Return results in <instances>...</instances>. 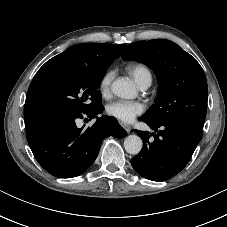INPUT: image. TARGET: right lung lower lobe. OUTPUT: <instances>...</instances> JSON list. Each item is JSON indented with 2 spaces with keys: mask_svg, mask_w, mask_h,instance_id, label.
Returning <instances> with one entry per match:
<instances>
[{
  "mask_svg": "<svg viewBox=\"0 0 227 227\" xmlns=\"http://www.w3.org/2000/svg\"><path fill=\"white\" fill-rule=\"evenodd\" d=\"M103 110L100 104L81 114L48 116L27 129L26 138L38 163L59 178L76 177L86 171L95 161L104 138L127 135L117 120L109 116L97 118L86 129L76 126L78 118L91 120Z\"/></svg>",
  "mask_w": 227,
  "mask_h": 227,
  "instance_id": "right-lung-lower-lobe-1",
  "label": "right lung lower lobe"
}]
</instances>
